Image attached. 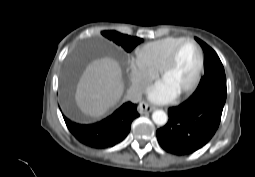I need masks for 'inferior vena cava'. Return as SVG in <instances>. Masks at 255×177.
Returning a JSON list of instances; mask_svg holds the SVG:
<instances>
[{
	"mask_svg": "<svg viewBox=\"0 0 255 177\" xmlns=\"http://www.w3.org/2000/svg\"><path fill=\"white\" fill-rule=\"evenodd\" d=\"M143 90L144 85L142 84L133 85L127 92V99L133 103L141 101Z\"/></svg>",
	"mask_w": 255,
	"mask_h": 177,
	"instance_id": "inferior-vena-cava-1",
	"label": "inferior vena cava"
}]
</instances>
